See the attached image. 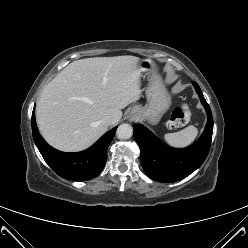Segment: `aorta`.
Segmentation results:
<instances>
[{"label": "aorta", "mask_w": 248, "mask_h": 248, "mask_svg": "<svg viewBox=\"0 0 248 248\" xmlns=\"http://www.w3.org/2000/svg\"><path fill=\"white\" fill-rule=\"evenodd\" d=\"M133 134L131 125L123 123L117 128L116 135L119 139H129Z\"/></svg>", "instance_id": "aorta-1"}]
</instances>
